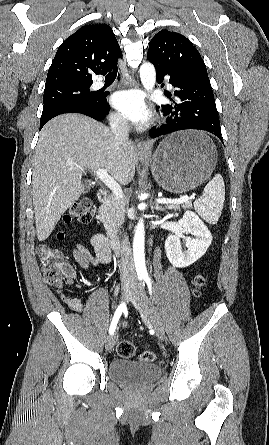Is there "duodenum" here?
<instances>
[{
    "label": "duodenum",
    "mask_w": 269,
    "mask_h": 445,
    "mask_svg": "<svg viewBox=\"0 0 269 445\" xmlns=\"http://www.w3.org/2000/svg\"><path fill=\"white\" fill-rule=\"evenodd\" d=\"M109 197V194L106 190L100 189L97 191V200L101 203L105 202ZM109 248L112 249L114 253L119 255L121 253V242L116 239H110L108 241Z\"/></svg>",
    "instance_id": "410a0bca"
}]
</instances>
